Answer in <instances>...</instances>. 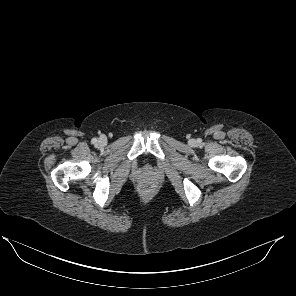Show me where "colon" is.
<instances>
[{"label": "colon", "mask_w": 296, "mask_h": 296, "mask_svg": "<svg viewBox=\"0 0 296 296\" xmlns=\"http://www.w3.org/2000/svg\"><path fill=\"white\" fill-rule=\"evenodd\" d=\"M155 186L151 182H144L140 185V191L144 195H150L153 193Z\"/></svg>", "instance_id": "colon-1"}]
</instances>
